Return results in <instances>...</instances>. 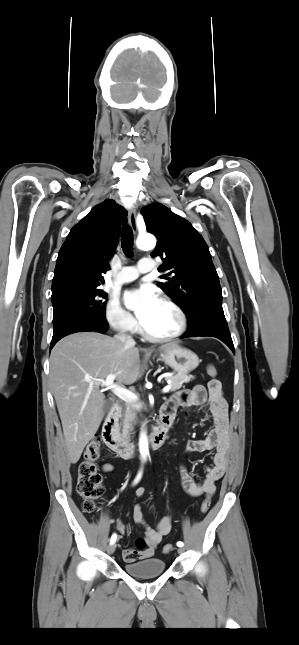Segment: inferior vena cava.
<instances>
[{
  "instance_id": "1",
  "label": "inferior vena cava",
  "mask_w": 299,
  "mask_h": 645,
  "mask_svg": "<svg viewBox=\"0 0 299 645\" xmlns=\"http://www.w3.org/2000/svg\"><path fill=\"white\" fill-rule=\"evenodd\" d=\"M116 338L127 347H131L135 345V341L130 335L119 334V335H116Z\"/></svg>"
}]
</instances>
